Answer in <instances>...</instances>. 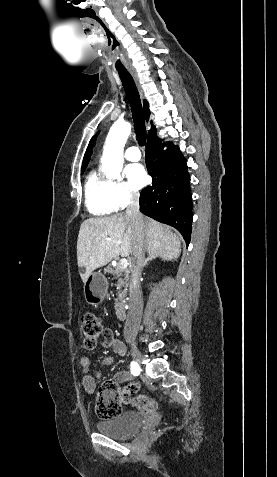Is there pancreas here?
Instances as JSON below:
<instances>
[{
  "mask_svg": "<svg viewBox=\"0 0 277 477\" xmlns=\"http://www.w3.org/2000/svg\"><path fill=\"white\" fill-rule=\"evenodd\" d=\"M105 272L110 273L117 279V282L114 284L118 289V299L124 300L127 293V287L129 285V271L120 267L119 264L116 267L108 266L105 269ZM124 288L123 290H121Z\"/></svg>",
  "mask_w": 277,
  "mask_h": 477,
  "instance_id": "1",
  "label": "pancreas"
}]
</instances>
